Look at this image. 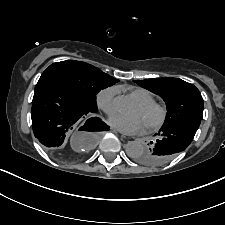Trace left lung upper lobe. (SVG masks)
I'll return each instance as SVG.
<instances>
[{"mask_svg": "<svg viewBox=\"0 0 225 225\" xmlns=\"http://www.w3.org/2000/svg\"><path fill=\"white\" fill-rule=\"evenodd\" d=\"M135 82L164 99L167 115L161 128L169 127L186 119L203 118V98L194 85L170 77L136 80ZM149 152L150 150H145L135 159L144 164Z\"/></svg>", "mask_w": 225, "mask_h": 225, "instance_id": "5c2ea615", "label": "left lung upper lobe"}]
</instances>
